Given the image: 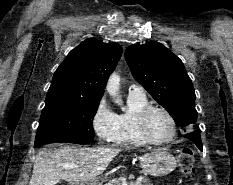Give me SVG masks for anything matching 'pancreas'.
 Masks as SVG:
<instances>
[{"label": "pancreas", "mask_w": 233, "mask_h": 185, "mask_svg": "<svg viewBox=\"0 0 233 185\" xmlns=\"http://www.w3.org/2000/svg\"><path fill=\"white\" fill-rule=\"evenodd\" d=\"M105 185H124L121 178H115ZM129 185H152L148 178L141 176L136 181H132Z\"/></svg>", "instance_id": "1"}]
</instances>
